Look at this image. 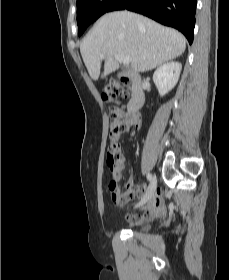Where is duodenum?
<instances>
[{
    "instance_id": "duodenum-1",
    "label": "duodenum",
    "mask_w": 229,
    "mask_h": 280,
    "mask_svg": "<svg viewBox=\"0 0 229 280\" xmlns=\"http://www.w3.org/2000/svg\"><path fill=\"white\" fill-rule=\"evenodd\" d=\"M119 77H127L133 82L131 99L128 102L127 108L133 118L135 120H138L136 117V113L145 102V91L141 77L138 73L135 72L120 73Z\"/></svg>"
}]
</instances>
